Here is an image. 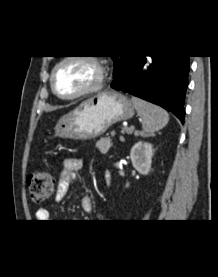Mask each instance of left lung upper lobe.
<instances>
[{
  "mask_svg": "<svg viewBox=\"0 0 218 277\" xmlns=\"http://www.w3.org/2000/svg\"><path fill=\"white\" fill-rule=\"evenodd\" d=\"M111 57L113 58L114 66H115L113 75L116 76L119 72L124 70V68L126 67L127 63L129 62L132 56L127 55V56H111Z\"/></svg>",
  "mask_w": 218,
  "mask_h": 277,
  "instance_id": "left-lung-upper-lobe-1",
  "label": "left lung upper lobe"
}]
</instances>
